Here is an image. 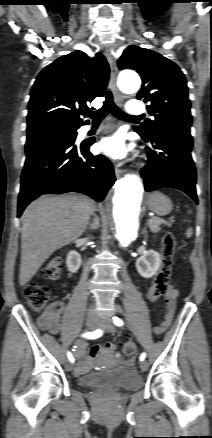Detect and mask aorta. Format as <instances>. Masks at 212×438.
Wrapping results in <instances>:
<instances>
[{
  "label": "aorta",
  "mask_w": 212,
  "mask_h": 438,
  "mask_svg": "<svg viewBox=\"0 0 212 438\" xmlns=\"http://www.w3.org/2000/svg\"><path fill=\"white\" fill-rule=\"evenodd\" d=\"M140 85V77L135 72H122L119 76V87L125 93L137 92ZM143 191L140 179L134 174H127L117 182L115 193L109 201L113 233L123 247L137 237Z\"/></svg>",
  "instance_id": "aorta-1"
}]
</instances>
